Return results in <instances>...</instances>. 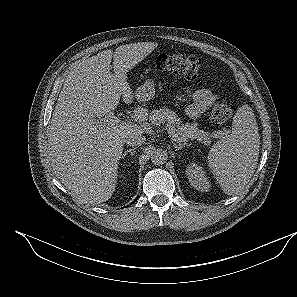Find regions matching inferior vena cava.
Here are the masks:
<instances>
[{
	"label": "inferior vena cava",
	"instance_id": "602c4592",
	"mask_svg": "<svg viewBox=\"0 0 297 297\" xmlns=\"http://www.w3.org/2000/svg\"><path fill=\"white\" fill-rule=\"evenodd\" d=\"M124 142L128 146H140L146 142V138L141 132H130L126 135Z\"/></svg>",
	"mask_w": 297,
	"mask_h": 297
}]
</instances>
